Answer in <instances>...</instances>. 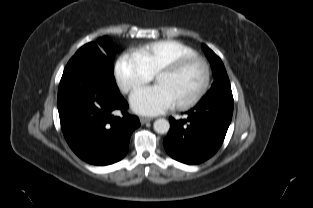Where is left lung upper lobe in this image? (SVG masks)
I'll use <instances>...</instances> for the list:
<instances>
[{"mask_svg": "<svg viewBox=\"0 0 313 208\" xmlns=\"http://www.w3.org/2000/svg\"><path fill=\"white\" fill-rule=\"evenodd\" d=\"M202 48L211 64L213 77L215 79L211 89L207 92V94L203 98L216 95L232 96L230 81L221 59L206 45L202 44Z\"/></svg>", "mask_w": 313, "mask_h": 208, "instance_id": "5c2ea615", "label": "left lung upper lobe"}]
</instances>
